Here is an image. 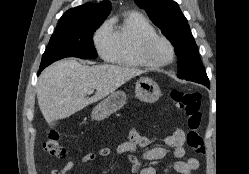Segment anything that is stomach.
Returning a JSON list of instances; mask_svg holds the SVG:
<instances>
[{
  "label": "stomach",
  "instance_id": "stomach-1",
  "mask_svg": "<svg viewBox=\"0 0 249 174\" xmlns=\"http://www.w3.org/2000/svg\"><path fill=\"white\" fill-rule=\"evenodd\" d=\"M136 96L146 103L156 102L160 95V88L156 82L149 78H142L135 85ZM126 103V94L115 91L100 102L92 111V119L103 120L118 111Z\"/></svg>",
  "mask_w": 249,
  "mask_h": 174
}]
</instances>
